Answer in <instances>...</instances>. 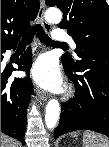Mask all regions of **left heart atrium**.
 Listing matches in <instances>:
<instances>
[{
	"mask_svg": "<svg viewBox=\"0 0 109 147\" xmlns=\"http://www.w3.org/2000/svg\"><path fill=\"white\" fill-rule=\"evenodd\" d=\"M33 77L42 87L51 91H60L63 87V79L57 62L50 56H44L38 60Z\"/></svg>",
	"mask_w": 109,
	"mask_h": 147,
	"instance_id": "39dd6f15",
	"label": "left heart atrium"
}]
</instances>
